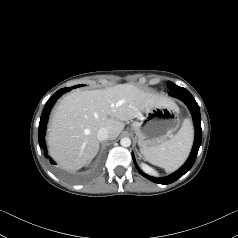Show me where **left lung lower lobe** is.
Here are the masks:
<instances>
[{
  "label": "left lung lower lobe",
  "instance_id": "1",
  "mask_svg": "<svg viewBox=\"0 0 238 238\" xmlns=\"http://www.w3.org/2000/svg\"><path fill=\"white\" fill-rule=\"evenodd\" d=\"M169 94L171 96H174V97L182 100L190 109L192 116H193L194 126H195V141H194V145H193L191 154H190L188 160L186 161V163L178 171H176L175 173L171 174L168 177L154 178V177L146 175L145 173H143L140 170V168L136 164L134 155L132 154L133 161H134V164H135L138 172L141 175H143L145 178L149 179L152 182L158 183V184L173 183L176 180H178L180 177H182L186 172H188L195 162V159H196V156H197V153H198L199 147L201 145V141H202L200 109H199L197 102L191 95V93L188 90H186L185 88L176 86V87L170 89Z\"/></svg>",
  "mask_w": 238,
  "mask_h": 238
}]
</instances>
